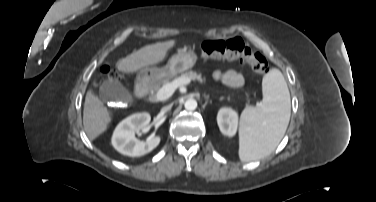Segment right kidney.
<instances>
[{
	"label": "right kidney",
	"instance_id": "1",
	"mask_svg": "<svg viewBox=\"0 0 376 202\" xmlns=\"http://www.w3.org/2000/svg\"><path fill=\"white\" fill-rule=\"evenodd\" d=\"M150 120L151 116L146 112L135 113L122 120L113 132V147L121 154L131 157L151 152L159 144V136L149 137L145 142L135 137V131L144 129Z\"/></svg>",
	"mask_w": 376,
	"mask_h": 202
}]
</instances>
